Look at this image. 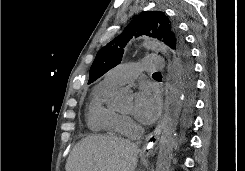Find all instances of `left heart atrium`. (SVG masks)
I'll use <instances>...</instances> for the list:
<instances>
[{
  "instance_id": "obj_1",
  "label": "left heart atrium",
  "mask_w": 245,
  "mask_h": 171,
  "mask_svg": "<svg viewBox=\"0 0 245 171\" xmlns=\"http://www.w3.org/2000/svg\"><path fill=\"white\" fill-rule=\"evenodd\" d=\"M161 111V100L155 91L142 87L134 98L133 114L144 124L153 123Z\"/></svg>"
}]
</instances>
